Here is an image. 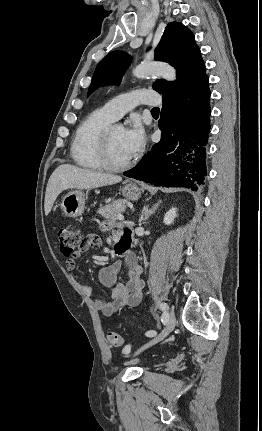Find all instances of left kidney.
Returning a JSON list of instances; mask_svg holds the SVG:
<instances>
[{"mask_svg":"<svg viewBox=\"0 0 262 431\" xmlns=\"http://www.w3.org/2000/svg\"><path fill=\"white\" fill-rule=\"evenodd\" d=\"M177 209L172 208L170 209L164 216V223L166 225H170L174 222V219L177 217Z\"/></svg>","mask_w":262,"mask_h":431,"instance_id":"5707ae66","label":"left kidney"}]
</instances>
